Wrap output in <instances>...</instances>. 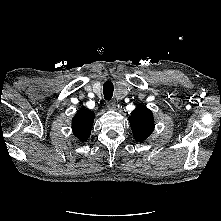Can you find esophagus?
I'll return each mask as SVG.
<instances>
[{
	"mask_svg": "<svg viewBox=\"0 0 221 221\" xmlns=\"http://www.w3.org/2000/svg\"><path fill=\"white\" fill-rule=\"evenodd\" d=\"M107 107L109 110H115L116 109V103L114 101L107 102Z\"/></svg>",
	"mask_w": 221,
	"mask_h": 221,
	"instance_id": "34e87169",
	"label": "esophagus"
}]
</instances>
